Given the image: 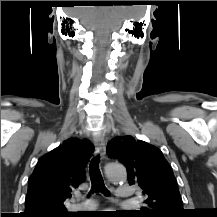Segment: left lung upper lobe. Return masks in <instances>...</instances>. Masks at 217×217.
<instances>
[{"label": "left lung upper lobe", "instance_id": "5c2ea615", "mask_svg": "<svg viewBox=\"0 0 217 217\" xmlns=\"http://www.w3.org/2000/svg\"><path fill=\"white\" fill-rule=\"evenodd\" d=\"M107 154L126 166L130 185H139L146 196L143 217H181L183 201L173 171L155 146L132 136L116 137Z\"/></svg>", "mask_w": 217, "mask_h": 217}]
</instances>
